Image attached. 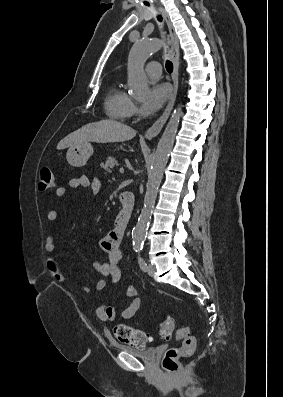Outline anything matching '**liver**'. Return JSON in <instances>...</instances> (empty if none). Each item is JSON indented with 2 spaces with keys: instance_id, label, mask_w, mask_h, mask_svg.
Here are the masks:
<instances>
[{
  "instance_id": "6515ba94",
  "label": "liver",
  "mask_w": 283,
  "mask_h": 397,
  "mask_svg": "<svg viewBox=\"0 0 283 397\" xmlns=\"http://www.w3.org/2000/svg\"><path fill=\"white\" fill-rule=\"evenodd\" d=\"M136 136V131L115 120H101L88 123L63 138L57 145L58 150L84 142H123Z\"/></svg>"
}]
</instances>
